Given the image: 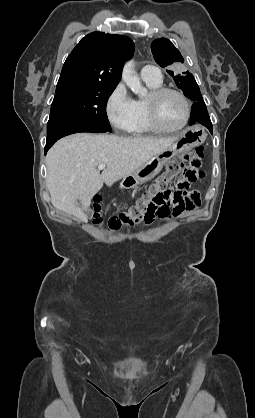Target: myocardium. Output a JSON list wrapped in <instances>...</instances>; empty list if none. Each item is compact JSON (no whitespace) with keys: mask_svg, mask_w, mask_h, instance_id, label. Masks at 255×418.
Wrapping results in <instances>:
<instances>
[{"mask_svg":"<svg viewBox=\"0 0 255 418\" xmlns=\"http://www.w3.org/2000/svg\"><path fill=\"white\" fill-rule=\"evenodd\" d=\"M167 94H175L179 96L185 104L186 115H185L184 121L182 122L181 125L174 127V128L165 127L161 123L160 117H159L160 100ZM146 109H147L148 120H149L151 127L155 131H158L161 133H175V132L181 131L188 125L190 118H191V113H192V107H191V103L188 97L180 90L171 88V87H160L158 89L151 91L149 97L146 99Z\"/></svg>","mask_w":255,"mask_h":418,"instance_id":"f54148a6","label":"myocardium"}]
</instances>
